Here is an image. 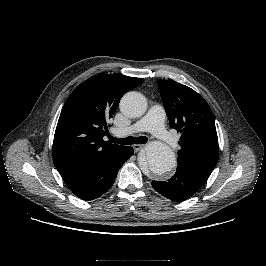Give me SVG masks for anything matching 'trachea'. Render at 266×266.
Segmentation results:
<instances>
[{"label":"trachea","instance_id":"3493384b","mask_svg":"<svg viewBox=\"0 0 266 266\" xmlns=\"http://www.w3.org/2000/svg\"><path fill=\"white\" fill-rule=\"evenodd\" d=\"M109 139L111 143H118L122 145L145 144L148 141L145 136H139V137L129 136L123 139H118V138L109 136Z\"/></svg>","mask_w":266,"mask_h":266}]
</instances>
